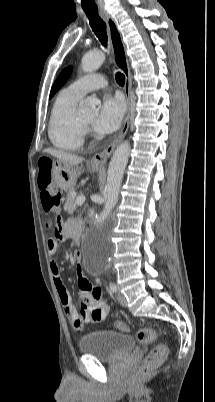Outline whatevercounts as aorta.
<instances>
[{
	"mask_svg": "<svg viewBox=\"0 0 215 402\" xmlns=\"http://www.w3.org/2000/svg\"><path fill=\"white\" fill-rule=\"evenodd\" d=\"M104 61L105 54L103 52H88L82 58L81 67L85 72H94L101 67ZM99 105V99L96 97H88L81 103L80 111L84 114L91 115L97 111ZM130 149V143L128 141H124L116 148L111 158L107 173V183L105 186L107 198L99 217L100 221H103L111 214L112 209L115 207L118 201L119 191L125 167L128 162ZM107 258V253H105L102 249H99L95 257H88L86 259L85 265L89 269H96L100 266L101 262Z\"/></svg>",
	"mask_w": 215,
	"mask_h": 402,
	"instance_id": "aorta-1",
	"label": "aorta"
}]
</instances>
